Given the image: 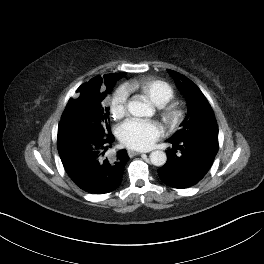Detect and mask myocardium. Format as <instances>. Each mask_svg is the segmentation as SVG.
I'll return each mask as SVG.
<instances>
[{
	"mask_svg": "<svg viewBox=\"0 0 264 264\" xmlns=\"http://www.w3.org/2000/svg\"><path fill=\"white\" fill-rule=\"evenodd\" d=\"M162 116L167 126L174 129L181 123L184 113L178 105H171L162 112Z\"/></svg>",
	"mask_w": 264,
	"mask_h": 264,
	"instance_id": "myocardium-1",
	"label": "myocardium"
}]
</instances>
